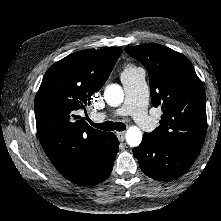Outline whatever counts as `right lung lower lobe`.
Instances as JSON below:
<instances>
[{
    "label": "right lung lower lobe",
    "mask_w": 221,
    "mask_h": 221,
    "mask_svg": "<svg viewBox=\"0 0 221 221\" xmlns=\"http://www.w3.org/2000/svg\"><path fill=\"white\" fill-rule=\"evenodd\" d=\"M105 141L107 146L105 155L106 160L93 168L65 176L70 182L80 186H91L101 183L109 177L113 168L115 156L119 150V141L111 132H107Z\"/></svg>",
    "instance_id": "right-lung-lower-lobe-1"
}]
</instances>
